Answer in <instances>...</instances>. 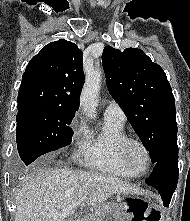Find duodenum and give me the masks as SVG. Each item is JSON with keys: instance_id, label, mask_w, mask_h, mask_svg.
I'll list each match as a JSON object with an SVG mask.
<instances>
[{"instance_id": "duodenum-1", "label": "duodenum", "mask_w": 190, "mask_h": 221, "mask_svg": "<svg viewBox=\"0 0 190 221\" xmlns=\"http://www.w3.org/2000/svg\"><path fill=\"white\" fill-rule=\"evenodd\" d=\"M76 221H87L86 219H78Z\"/></svg>"}]
</instances>
